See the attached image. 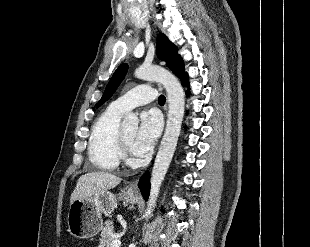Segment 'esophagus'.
I'll return each instance as SVG.
<instances>
[{"mask_svg":"<svg viewBox=\"0 0 310 247\" xmlns=\"http://www.w3.org/2000/svg\"><path fill=\"white\" fill-rule=\"evenodd\" d=\"M137 180H135L133 183H132V188L134 189V190H136V186H137Z\"/></svg>","mask_w":310,"mask_h":247,"instance_id":"obj_1","label":"esophagus"}]
</instances>
